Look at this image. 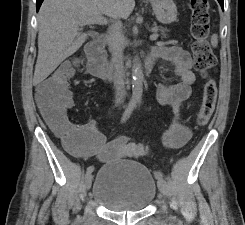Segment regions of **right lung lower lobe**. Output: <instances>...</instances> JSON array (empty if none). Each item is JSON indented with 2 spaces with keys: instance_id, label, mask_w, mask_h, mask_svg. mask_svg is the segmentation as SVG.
Listing matches in <instances>:
<instances>
[{
  "instance_id": "98d812e1",
  "label": "right lung lower lobe",
  "mask_w": 245,
  "mask_h": 225,
  "mask_svg": "<svg viewBox=\"0 0 245 225\" xmlns=\"http://www.w3.org/2000/svg\"><path fill=\"white\" fill-rule=\"evenodd\" d=\"M42 2L43 0H37L36 2L37 10L40 8Z\"/></svg>"
}]
</instances>
